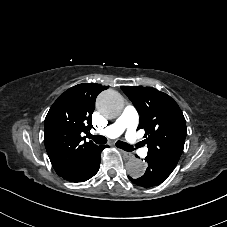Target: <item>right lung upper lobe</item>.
<instances>
[{
	"label": "right lung upper lobe",
	"instance_id": "right-lung-upper-lobe-1",
	"mask_svg": "<svg viewBox=\"0 0 227 227\" xmlns=\"http://www.w3.org/2000/svg\"><path fill=\"white\" fill-rule=\"evenodd\" d=\"M107 88L95 83L73 86L50 108L45 118L44 142L52 166L60 174L73 170L97 146L86 142L83 135L92 127L97 95Z\"/></svg>",
	"mask_w": 227,
	"mask_h": 227
}]
</instances>
